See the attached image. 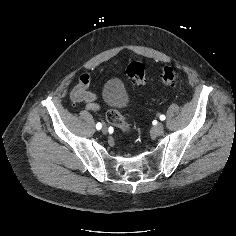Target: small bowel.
Segmentation results:
<instances>
[{"mask_svg":"<svg viewBox=\"0 0 236 236\" xmlns=\"http://www.w3.org/2000/svg\"><path fill=\"white\" fill-rule=\"evenodd\" d=\"M90 80L91 76L89 74H82L79 77L78 84L72 91V97L75 102L85 101L89 110L96 111L100 109V105L97 102V95L87 90Z\"/></svg>","mask_w":236,"mask_h":236,"instance_id":"small-bowel-1","label":"small bowel"}]
</instances>
